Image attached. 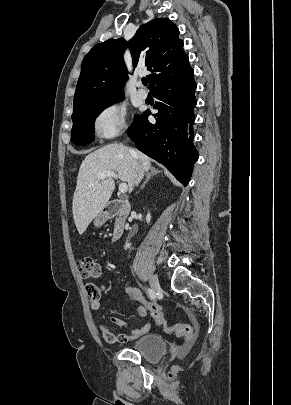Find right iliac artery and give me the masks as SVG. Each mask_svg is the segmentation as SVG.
<instances>
[{"label":"right iliac artery","mask_w":291,"mask_h":405,"mask_svg":"<svg viewBox=\"0 0 291 405\" xmlns=\"http://www.w3.org/2000/svg\"><path fill=\"white\" fill-rule=\"evenodd\" d=\"M147 293H148V296L150 299H152V300L155 299V297H156L155 293L151 289L147 288Z\"/></svg>","instance_id":"right-iliac-artery-1"}]
</instances>
